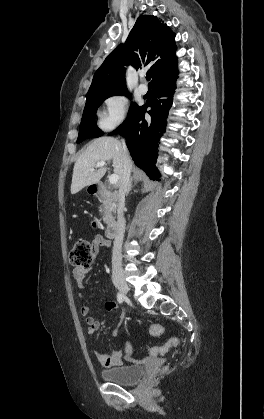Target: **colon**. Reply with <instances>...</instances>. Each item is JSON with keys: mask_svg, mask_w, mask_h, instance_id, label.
I'll return each instance as SVG.
<instances>
[{"mask_svg": "<svg viewBox=\"0 0 264 419\" xmlns=\"http://www.w3.org/2000/svg\"><path fill=\"white\" fill-rule=\"evenodd\" d=\"M70 263L78 268L88 269L93 263V252L91 244L84 239L78 240L69 254ZM158 330L155 329L153 335H156ZM178 345V339L172 340L170 346L173 348Z\"/></svg>", "mask_w": 264, "mask_h": 419, "instance_id": "1", "label": "colon"}]
</instances>
